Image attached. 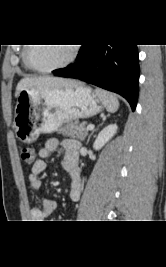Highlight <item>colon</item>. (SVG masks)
<instances>
[{"instance_id": "colon-1", "label": "colon", "mask_w": 166, "mask_h": 267, "mask_svg": "<svg viewBox=\"0 0 166 267\" xmlns=\"http://www.w3.org/2000/svg\"><path fill=\"white\" fill-rule=\"evenodd\" d=\"M20 157L27 164H31L35 161V151L31 146H22L20 148Z\"/></svg>"}]
</instances>
